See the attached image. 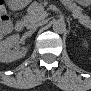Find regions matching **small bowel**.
Wrapping results in <instances>:
<instances>
[{"instance_id":"small-bowel-1","label":"small bowel","mask_w":91,"mask_h":91,"mask_svg":"<svg viewBox=\"0 0 91 91\" xmlns=\"http://www.w3.org/2000/svg\"><path fill=\"white\" fill-rule=\"evenodd\" d=\"M2 12H5V9H4V8L1 9V13H2Z\"/></svg>"}]
</instances>
